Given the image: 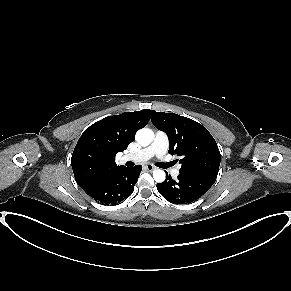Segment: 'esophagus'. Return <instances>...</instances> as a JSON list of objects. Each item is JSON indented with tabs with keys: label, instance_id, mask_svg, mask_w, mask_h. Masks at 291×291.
Returning a JSON list of instances; mask_svg holds the SVG:
<instances>
[{
	"label": "esophagus",
	"instance_id": "obj_1",
	"mask_svg": "<svg viewBox=\"0 0 291 291\" xmlns=\"http://www.w3.org/2000/svg\"><path fill=\"white\" fill-rule=\"evenodd\" d=\"M145 169L148 170V171H153L156 169L155 166H153L152 164H146L145 166Z\"/></svg>",
	"mask_w": 291,
	"mask_h": 291
}]
</instances>
